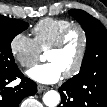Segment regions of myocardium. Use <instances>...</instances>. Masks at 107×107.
I'll list each match as a JSON object with an SVG mask.
<instances>
[{
	"label": "myocardium",
	"mask_w": 107,
	"mask_h": 107,
	"mask_svg": "<svg viewBox=\"0 0 107 107\" xmlns=\"http://www.w3.org/2000/svg\"><path fill=\"white\" fill-rule=\"evenodd\" d=\"M73 31H78L80 33L81 36V46H80V50H79V54L78 57L74 63V65L67 70L66 72H64V76L66 78H72L75 75H77L86 58V54H87V50H88V35L86 30L84 29L83 26H81L80 24L77 23H72L71 25L67 26L57 37V39L54 41V43L49 47V50H59L61 49L68 36L70 35L71 32Z\"/></svg>",
	"instance_id": "f54148a6"
}]
</instances>
